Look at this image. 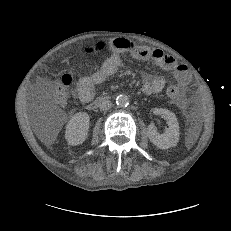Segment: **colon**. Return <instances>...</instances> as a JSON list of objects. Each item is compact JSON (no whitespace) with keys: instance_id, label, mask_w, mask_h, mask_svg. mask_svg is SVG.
Masks as SVG:
<instances>
[{"instance_id":"colon-1","label":"colon","mask_w":231,"mask_h":231,"mask_svg":"<svg viewBox=\"0 0 231 231\" xmlns=\"http://www.w3.org/2000/svg\"><path fill=\"white\" fill-rule=\"evenodd\" d=\"M106 48L107 45L105 43H99L92 48V52L101 53ZM71 83L72 77L70 74H63L60 78L54 80L51 96L56 103L62 105L66 102L67 89L71 85ZM167 94L170 98L175 99L179 96L180 91L175 86H169L167 89Z\"/></svg>"}]
</instances>
